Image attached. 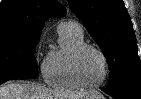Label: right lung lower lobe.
<instances>
[{"mask_svg":"<svg viewBox=\"0 0 141 99\" xmlns=\"http://www.w3.org/2000/svg\"><path fill=\"white\" fill-rule=\"evenodd\" d=\"M13 78H17V77H12V78H7V79H4V80H0V84L6 82V81H8V80H11V79H13Z\"/></svg>","mask_w":141,"mask_h":99,"instance_id":"98d812e1","label":"right lung lower lobe"}]
</instances>
